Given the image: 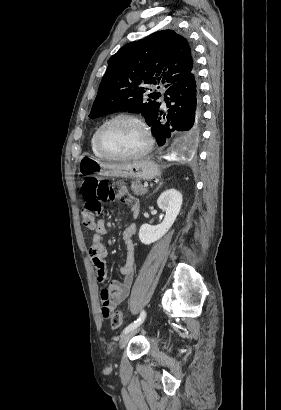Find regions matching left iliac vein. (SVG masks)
Masks as SVG:
<instances>
[{
  "label": "left iliac vein",
  "instance_id": "1",
  "mask_svg": "<svg viewBox=\"0 0 281 410\" xmlns=\"http://www.w3.org/2000/svg\"><path fill=\"white\" fill-rule=\"evenodd\" d=\"M140 328H141V325H138L136 328L122 335L120 339V343H119L120 349H123L127 345L129 340L140 330Z\"/></svg>",
  "mask_w": 281,
  "mask_h": 410
}]
</instances>
